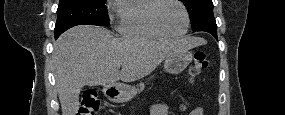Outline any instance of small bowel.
<instances>
[{"mask_svg":"<svg viewBox=\"0 0 285 115\" xmlns=\"http://www.w3.org/2000/svg\"><path fill=\"white\" fill-rule=\"evenodd\" d=\"M167 105L163 101H155L151 106V114L152 115H166ZM190 115H204V110L200 107L193 109L190 112Z\"/></svg>","mask_w":285,"mask_h":115,"instance_id":"obj_1","label":"small bowel"}]
</instances>
